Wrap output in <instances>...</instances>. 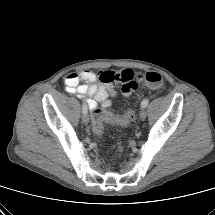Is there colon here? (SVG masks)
<instances>
[{
    "mask_svg": "<svg viewBox=\"0 0 215 215\" xmlns=\"http://www.w3.org/2000/svg\"><path fill=\"white\" fill-rule=\"evenodd\" d=\"M135 83L144 82L152 88H158L163 83L162 75L155 71L147 72L146 74H139L136 77ZM135 118V113L132 109H129L123 116L119 118L113 117L111 114L96 109L92 113V129L94 133L100 136L103 133V123L105 121L114 122L120 126L128 125Z\"/></svg>",
    "mask_w": 215,
    "mask_h": 215,
    "instance_id": "1",
    "label": "colon"
}]
</instances>
